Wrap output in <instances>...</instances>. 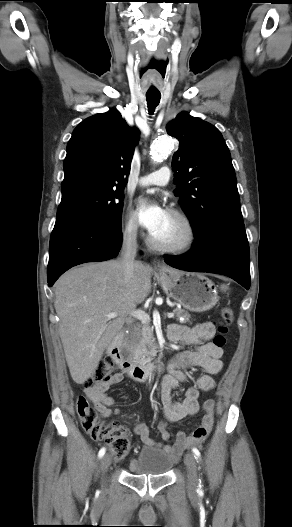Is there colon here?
I'll return each instance as SVG.
<instances>
[{
	"mask_svg": "<svg viewBox=\"0 0 292 527\" xmlns=\"http://www.w3.org/2000/svg\"><path fill=\"white\" fill-rule=\"evenodd\" d=\"M233 321V311L225 307L221 312V321L218 323V334L213 339V344L223 347L226 335ZM116 364L113 358L106 357L101 360L94 373L84 382L86 387H95L108 381L115 373ZM77 411L82 425L87 433L96 441L105 442L115 458L125 457L131 447L130 438L125 426L118 423H104L97 419L93 408L83 396L78 398Z\"/></svg>",
	"mask_w": 292,
	"mask_h": 527,
	"instance_id": "5ec220e1",
	"label": "colon"
}]
</instances>
